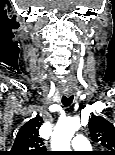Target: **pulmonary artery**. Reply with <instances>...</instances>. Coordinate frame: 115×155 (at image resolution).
<instances>
[{
    "mask_svg": "<svg viewBox=\"0 0 115 155\" xmlns=\"http://www.w3.org/2000/svg\"><path fill=\"white\" fill-rule=\"evenodd\" d=\"M72 147L76 151H85L90 149V143L83 135H76L72 140Z\"/></svg>",
    "mask_w": 115,
    "mask_h": 155,
    "instance_id": "pulmonary-artery-1",
    "label": "pulmonary artery"
}]
</instances>
